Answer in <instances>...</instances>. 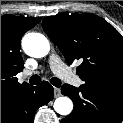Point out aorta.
<instances>
[{"label": "aorta", "mask_w": 123, "mask_h": 123, "mask_svg": "<svg viewBox=\"0 0 123 123\" xmlns=\"http://www.w3.org/2000/svg\"><path fill=\"white\" fill-rule=\"evenodd\" d=\"M24 52L35 58L45 57L50 51L48 39L40 33H28L22 39ZM54 109L60 115H69L73 110V102L70 98L62 96L55 100Z\"/></svg>", "instance_id": "762f6f07"}]
</instances>
